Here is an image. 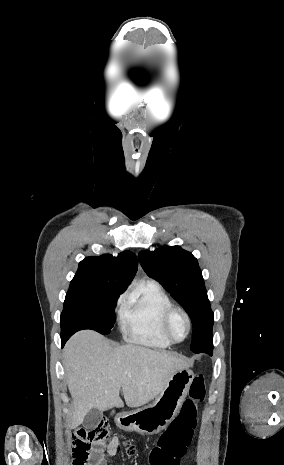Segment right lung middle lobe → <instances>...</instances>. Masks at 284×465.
I'll list each match as a JSON object with an SVG mask.
<instances>
[{
	"label": "right lung middle lobe",
	"mask_w": 284,
	"mask_h": 465,
	"mask_svg": "<svg viewBox=\"0 0 284 465\" xmlns=\"http://www.w3.org/2000/svg\"><path fill=\"white\" fill-rule=\"evenodd\" d=\"M121 292L102 285L71 282L61 313V337L83 329L109 334L115 323V306Z\"/></svg>",
	"instance_id": "obj_1"
}]
</instances>
